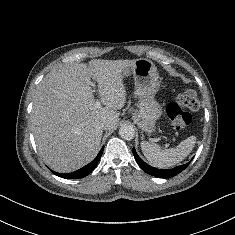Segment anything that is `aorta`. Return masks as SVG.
I'll use <instances>...</instances> for the list:
<instances>
[{
	"label": "aorta",
	"mask_w": 235,
	"mask_h": 235,
	"mask_svg": "<svg viewBox=\"0 0 235 235\" xmlns=\"http://www.w3.org/2000/svg\"><path fill=\"white\" fill-rule=\"evenodd\" d=\"M119 135L124 140H132L135 136V130L131 125H122L119 129Z\"/></svg>",
	"instance_id": "aorta-1"
}]
</instances>
